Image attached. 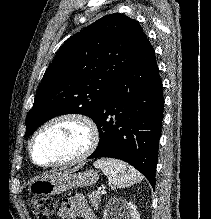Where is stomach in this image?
<instances>
[{"label":"stomach","instance_id":"stomach-1","mask_svg":"<svg viewBox=\"0 0 211 219\" xmlns=\"http://www.w3.org/2000/svg\"><path fill=\"white\" fill-rule=\"evenodd\" d=\"M98 178V174L94 170L63 171L34 182L30 185V191L40 196H51L73 188L93 185Z\"/></svg>","mask_w":211,"mask_h":219}]
</instances>
